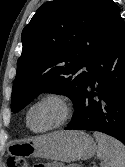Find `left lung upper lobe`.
I'll return each mask as SVG.
<instances>
[{"instance_id": "1", "label": "left lung upper lobe", "mask_w": 125, "mask_h": 167, "mask_svg": "<svg viewBox=\"0 0 125 167\" xmlns=\"http://www.w3.org/2000/svg\"><path fill=\"white\" fill-rule=\"evenodd\" d=\"M113 0H54L43 4L23 29L22 54L11 98L19 112L47 90H59L76 103L91 63L119 16ZM87 67L86 71L82 68Z\"/></svg>"}]
</instances>
